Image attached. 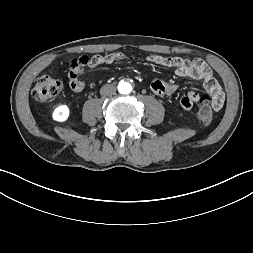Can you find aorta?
<instances>
[{
  "label": "aorta",
  "instance_id": "obj_1",
  "mask_svg": "<svg viewBox=\"0 0 253 253\" xmlns=\"http://www.w3.org/2000/svg\"><path fill=\"white\" fill-rule=\"evenodd\" d=\"M118 91L121 94H129L132 91V86L127 82H120L118 85Z\"/></svg>",
  "mask_w": 253,
  "mask_h": 253
}]
</instances>
